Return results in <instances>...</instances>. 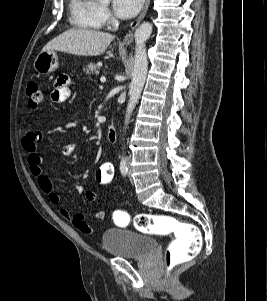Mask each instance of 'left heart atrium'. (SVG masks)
Masks as SVG:
<instances>
[{
	"mask_svg": "<svg viewBox=\"0 0 267 301\" xmlns=\"http://www.w3.org/2000/svg\"><path fill=\"white\" fill-rule=\"evenodd\" d=\"M144 0H112L113 11L120 18H131L135 16Z\"/></svg>",
	"mask_w": 267,
	"mask_h": 301,
	"instance_id": "obj_1",
	"label": "left heart atrium"
}]
</instances>
